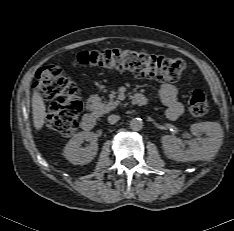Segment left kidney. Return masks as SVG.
<instances>
[{"instance_id":"obj_1","label":"left kidney","mask_w":234,"mask_h":231,"mask_svg":"<svg viewBox=\"0 0 234 231\" xmlns=\"http://www.w3.org/2000/svg\"><path fill=\"white\" fill-rule=\"evenodd\" d=\"M191 133L197 138L189 142V148L184 150L170 135L161 138L165 155L178 162L210 159L220 149L223 141V130L215 122H201L191 125ZM205 134L207 137H201Z\"/></svg>"}]
</instances>
